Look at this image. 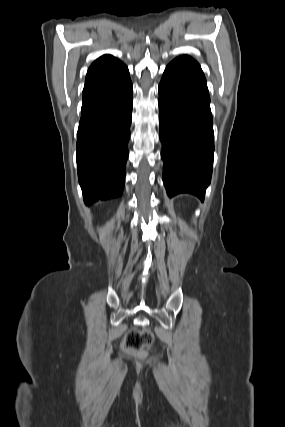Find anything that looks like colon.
<instances>
[{"label": "colon", "instance_id": "5ec220e1", "mask_svg": "<svg viewBox=\"0 0 285 427\" xmlns=\"http://www.w3.org/2000/svg\"><path fill=\"white\" fill-rule=\"evenodd\" d=\"M153 334L148 329H133L127 332L124 348L128 351L144 354L153 342Z\"/></svg>", "mask_w": 285, "mask_h": 427}]
</instances>
